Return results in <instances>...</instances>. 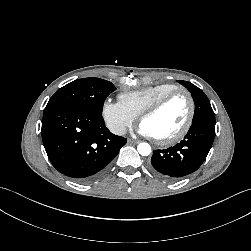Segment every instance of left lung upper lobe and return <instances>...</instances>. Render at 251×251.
Returning <instances> with one entry per match:
<instances>
[{
  "mask_svg": "<svg viewBox=\"0 0 251 251\" xmlns=\"http://www.w3.org/2000/svg\"><path fill=\"white\" fill-rule=\"evenodd\" d=\"M183 86H185L193 96L195 101V112L193 121L195 122L200 119H213L215 120V115L210 105V102L204 92L195 86L194 84L187 81H178Z\"/></svg>",
  "mask_w": 251,
  "mask_h": 251,
  "instance_id": "1",
  "label": "left lung upper lobe"
}]
</instances>
